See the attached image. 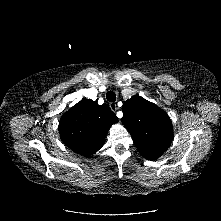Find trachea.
Listing matches in <instances>:
<instances>
[{"mask_svg":"<svg viewBox=\"0 0 221 221\" xmlns=\"http://www.w3.org/2000/svg\"><path fill=\"white\" fill-rule=\"evenodd\" d=\"M106 99L109 102H115L116 101V94L113 91H108L106 94Z\"/></svg>","mask_w":221,"mask_h":221,"instance_id":"obj_1","label":"trachea"}]
</instances>
